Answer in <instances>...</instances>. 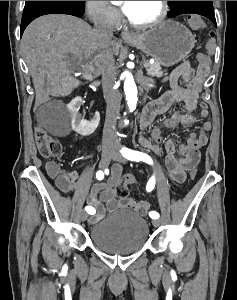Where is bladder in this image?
I'll list each match as a JSON object with an SVG mask.
<instances>
[{"mask_svg": "<svg viewBox=\"0 0 237 300\" xmlns=\"http://www.w3.org/2000/svg\"><path fill=\"white\" fill-rule=\"evenodd\" d=\"M148 238L147 220L129 209L107 216L89 229L90 241L100 250L113 254L135 253L145 246Z\"/></svg>", "mask_w": 237, "mask_h": 300, "instance_id": "31cf9c89", "label": "bladder"}]
</instances>
